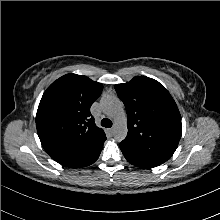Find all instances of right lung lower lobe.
Returning a JSON list of instances; mask_svg holds the SVG:
<instances>
[{"label":"right lung lower lobe","instance_id":"right-lung-lower-lobe-1","mask_svg":"<svg viewBox=\"0 0 220 220\" xmlns=\"http://www.w3.org/2000/svg\"><path fill=\"white\" fill-rule=\"evenodd\" d=\"M99 155H100V153H99ZM99 155H98V157H99ZM98 157H97V158H98ZM96 160H97V159H96ZM96 160H95V161H96ZM95 161H94V162H95ZM94 162H93V163H94Z\"/></svg>","mask_w":220,"mask_h":220}]
</instances>
